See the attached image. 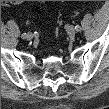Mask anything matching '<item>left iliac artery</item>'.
Returning <instances> with one entry per match:
<instances>
[{"label":"left iliac artery","mask_w":109,"mask_h":109,"mask_svg":"<svg viewBox=\"0 0 109 109\" xmlns=\"http://www.w3.org/2000/svg\"><path fill=\"white\" fill-rule=\"evenodd\" d=\"M75 29H76L77 31H80V30H81V27H80L79 25H76V26H75Z\"/></svg>","instance_id":"left-iliac-artery-1"}]
</instances>
